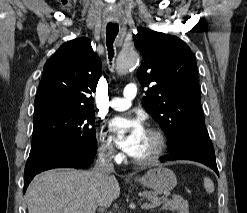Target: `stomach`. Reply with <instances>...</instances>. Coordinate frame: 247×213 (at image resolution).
I'll list each match as a JSON object with an SVG mask.
<instances>
[{
	"label": "stomach",
	"mask_w": 247,
	"mask_h": 213,
	"mask_svg": "<svg viewBox=\"0 0 247 213\" xmlns=\"http://www.w3.org/2000/svg\"><path fill=\"white\" fill-rule=\"evenodd\" d=\"M139 182L161 193L172 190L177 185V178L172 170L158 166L147 171L143 177L139 178Z\"/></svg>",
	"instance_id": "0dacf381"
}]
</instances>
